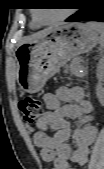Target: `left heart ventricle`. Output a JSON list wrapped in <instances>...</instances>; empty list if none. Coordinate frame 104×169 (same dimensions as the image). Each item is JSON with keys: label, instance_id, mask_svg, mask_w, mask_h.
<instances>
[{"label": "left heart ventricle", "instance_id": "1", "mask_svg": "<svg viewBox=\"0 0 104 169\" xmlns=\"http://www.w3.org/2000/svg\"><path fill=\"white\" fill-rule=\"evenodd\" d=\"M37 17L42 21H52L58 18L62 11L61 9H43L37 11Z\"/></svg>", "mask_w": 104, "mask_h": 169}]
</instances>
